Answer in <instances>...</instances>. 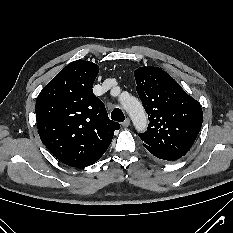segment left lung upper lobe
<instances>
[{"label": "left lung upper lobe", "instance_id": "obj_1", "mask_svg": "<svg viewBox=\"0 0 233 233\" xmlns=\"http://www.w3.org/2000/svg\"><path fill=\"white\" fill-rule=\"evenodd\" d=\"M134 76L150 121L147 131L139 134L141 140L155 149L184 156L202 126L200 104L158 67H140Z\"/></svg>", "mask_w": 233, "mask_h": 233}]
</instances>
